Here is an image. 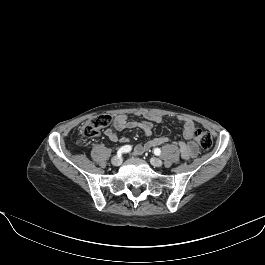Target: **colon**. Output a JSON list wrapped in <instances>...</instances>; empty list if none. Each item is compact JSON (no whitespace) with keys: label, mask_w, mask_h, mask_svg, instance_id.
I'll return each mask as SVG.
<instances>
[{"label":"colon","mask_w":265,"mask_h":265,"mask_svg":"<svg viewBox=\"0 0 265 265\" xmlns=\"http://www.w3.org/2000/svg\"><path fill=\"white\" fill-rule=\"evenodd\" d=\"M110 122L111 118L109 115H98L84 124L82 132L85 137L92 138L97 134L99 130L109 125ZM193 136L195 141L202 149L208 150L211 148L212 137L209 132L202 129H196L194 130Z\"/></svg>","instance_id":"obj_1"}]
</instances>
